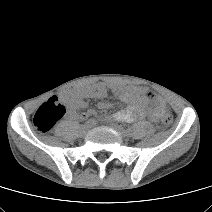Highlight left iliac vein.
Listing matches in <instances>:
<instances>
[{"label":"left iliac vein","mask_w":212,"mask_h":212,"mask_svg":"<svg viewBox=\"0 0 212 212\" xmlns=\"http://www.w3.org/2000/svg\"><path fill=\"white\" fill-rule=\"evenodd\" d=\"M111 127L114 130H116L122 137H126L127 136V132L122 126H120L118 124H115V123H112Z\"/></svg>","instance_id":"1"}]
</instances>
